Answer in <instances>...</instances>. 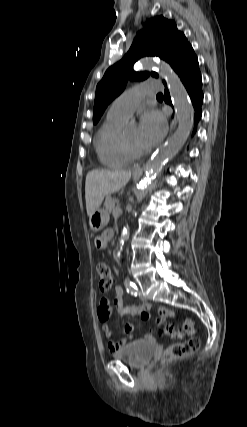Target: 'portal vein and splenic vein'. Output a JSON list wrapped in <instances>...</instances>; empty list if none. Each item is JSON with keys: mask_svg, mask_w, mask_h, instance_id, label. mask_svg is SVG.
Masks as SVG:
<instances>
[{"mask_svg": "<svg viewBox=\"0 0 247 427\" xmlns=\"http://www.w3.org/2000/svg\"><path fill=\"white\" fill-rule=\"evenodd\" d=\"M114 201H115V203H118V202H119V199H115Z\"/></svg>", "mask_w": 247, "mask_h": 427, "instance_id": "obj_1", "label": "portal vein and splenic vein"}]
</instances>
